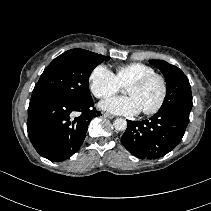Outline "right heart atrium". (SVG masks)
I'll list each match as a JSON object with an SVG mask.
<instances>
[{"label": "right heart atrium", "mask_w": 211, "mask_h": 211, "mask_svg": "<svg viewBox=\"0 0 211 211\" xmlns=\"http://www.w3.org/2000/svg\"><path fill=\"white\" fill-rule=\"evenodd\" d=\"M89 88L97 98H104L119 92L122 88L115 74L105 65H96L89 74Z\"/></svg>", "instance_id": "right-heart-atrium-1"}]
</instances>
